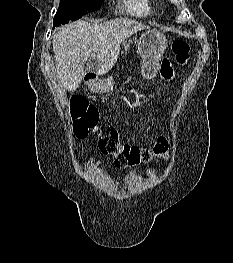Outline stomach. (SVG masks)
Instances as JSON below:
<instances>
[{
  "mask_svg": "<svg viewBox=\"0 0 233 263\" xmlns=\"http://www.w3.org/2000/svg\"><path fill=\"white\" fill-rule=\"evenodd\" d=\"M167 47V39L162 32L156 29L149 30L141 35L137 48L140 54L141 74L146 79H152L156 76L159 68V62ZM113 77H108L107 80H95L89 82L90 89L96 93H103L109 88H119L123 85L113 82ZM125 87L128 85L125 84Z\"/></svg>",
  "mask_w": 233,
  "mask_h": 263,
  "instance_id": "1",
  "label": "stomach"
}]
</instances>
